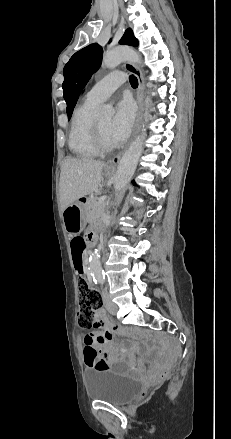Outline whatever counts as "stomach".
Masks as SVG:
<instances>
[{"label":"stomach","mask_w":231,"mask_h":439,"mask_svg":"<svg viewBox=\"0 0 231 439\" xmlns=\"http://www.w3.org/2000/svg\"><path fill=\"white\" fill-rule=\"evenodd\" d=\"M112 169H109L108 167L105 168V174L107 176L112 174ZM72 208H75L72 211ZM83 208V203L79 200L71 205H69L66 209H64V226L68 233L75 235L77 232L82 230L83 228V221L79 217V210Z\"/></svg>","instance_id":"obj_1"}]
</instances>
